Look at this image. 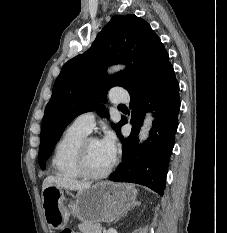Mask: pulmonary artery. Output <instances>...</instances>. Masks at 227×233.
<instances>
[{"label":"pulmonary artery","instance_id":"e3ab8cb5","mask_svg":"<svg viewBox=\"0 0 227 233\" xmlns=\"http://www.w3.org/2000/svg\"><path fill=\"white\" fill-rule=\"evenodd\" d=\"M129 100L128 95L125 92H116L111 96L112 102H127ZM95 125V113L92 111L84 112L78 115L71 126L81 130L85 133H90Z\"/></svg>","mask_w":227,"mask_h":233}]
</instances>
